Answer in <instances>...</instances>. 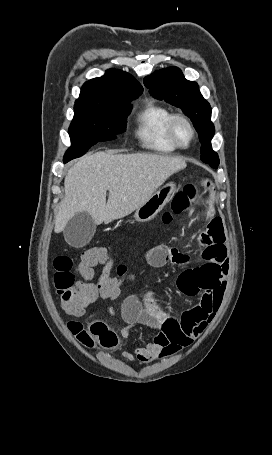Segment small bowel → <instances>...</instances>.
Wrapping results in <instances>:
<instances>
[{
  "label": "small bowel",
  "mask_w": 272,
  "mask_h": 455,
  "mask_svg": "<svg viewBox=\"0 0 272 455\" xmlns=\"http://www.w3.org/2000/svg\"><path fill=\"white\" fill-rule=\"evenodd\" d=\"M190 183L199 190H207L210 186V181L204 176H197ZM200 239L204 245L200 264L182 272L177 282L179 291L197 298L198 303L180 318H175L157 313L149 299L144 303L135 296L128 297L121 307L124 322L120 328L122 337H128L136 324L145 325L155 330L156 334L151 342L136 348L133 354L123 352V359L148 363L173 355L191 345L213 320L223 299L229 271L222 221L210 218ZM146 258L154 267H162L169 262L185 264L189 260V256L167 245L151 248ZM109 311L115 314L112 307Z\"/></svg>",
  "instance_id": "1"
}]
</instances>
